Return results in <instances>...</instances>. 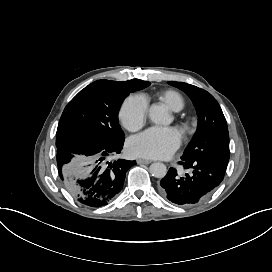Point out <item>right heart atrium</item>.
I'll return each mask as SVG.
<instances>
[{
    "mask_svg": "<svg viewBox=\"0 0 272 272\" xmlns=\"http://www.w3.org/2000/svg\"><path fill=\"white\" fill-rule=\"evenodd\" d=\"M148 103L146 98L140 94L128 96L120 110V120L129 131L139 130L146 121Z\"/></svg>",
    "mask_w": 272,
    "mask_h": 272,
    "instance_id": "d8ad5b80",
    "label": "right heart atrium"
}]
</instances>
